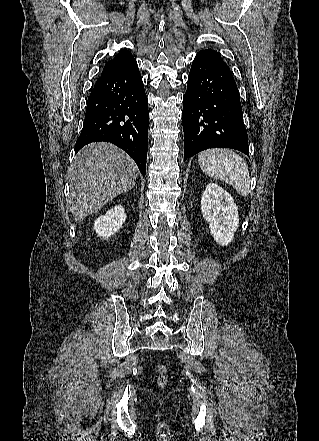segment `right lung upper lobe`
<instances>
[{
  "label": "right lung upper lobe",
  "instance_id": "1",
  "mask_svg": "<svg viewBox=\"0 0 319 441\" xmlns=\"http://www.w3.org/2000/svg\"><path fill=\"white\" fill-rule=\"evenodd\" d=\"M134 60L135 59L128 50L122 49L112 60L105 64L101 76L111 73Z\"/></svg>",
  "mask_w": 319,
  "mask_h": 441
}]
</instances>
